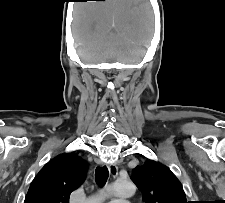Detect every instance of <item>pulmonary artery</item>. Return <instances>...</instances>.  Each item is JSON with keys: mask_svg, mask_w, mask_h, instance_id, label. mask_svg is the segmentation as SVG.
<instances>
[{"mask_svg": "<svg viewBox=\"0 0 225 203\" xmlns=\"http://www.w3.org/2000/svg\"><path fill=\"white\" fill-rule=\"evenodd\" d=\"M110 203H129L128 201H112Z\"/></svg>", "mask_w": 225, "mask_h": 203, "instance_id": "obj_1", "label": "pulmonary artery"}]
</instances>
